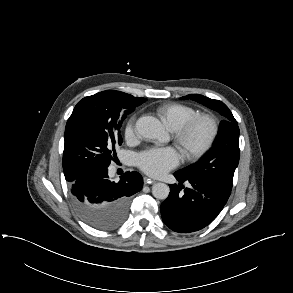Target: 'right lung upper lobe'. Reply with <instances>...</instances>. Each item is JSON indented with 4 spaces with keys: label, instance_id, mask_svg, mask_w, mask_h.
Wrapping results in <instances>:
<instances>
[{
    "label": "right lung upper lobe",
    "instance_id": "cb5924a9",
    "mask_svg": "<svg viewBox=\"0 0 293 293\" xmlns=\"http://www.w3.org/2000/svg\"><path fill=\"white\" fill-rule=\"evenodd\" d=\"M107 91H113V90H107ZM113 92L117 93V94H126V93L119 92V91H113ZM127 95H129V94H127ZM130 96H132V95H130ZM132 97H133L134 101H136L137 103H140V104H142L146 100V99L140 98V97H134V96H132Z\"/></svg>",
    "mask_w": 293,
    "mask_h": 293
}]
</instances>
